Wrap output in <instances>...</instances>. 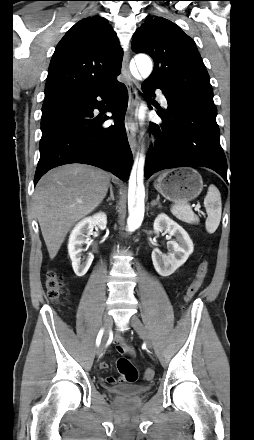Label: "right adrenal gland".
<instances>
[{
	"label": "right adrenal gland",
	"instance_id": "2a0ac1e0",
	"mask_svg": "<svg viewBox=\"0 0 254 440\" xmlns=\"http://www.w3.org/2000/svg\"><path fill=\"white\" fill-rule=\"evenodd\" d=\"M114 201V193H113V187H112V185L110 184V197H108L107 199H106V201L107 202H109V201ZM109 205H111V203H109Z\"/></svg>",
	"mask_w": 254,
	"mask_h": 440
}]
</instances>
